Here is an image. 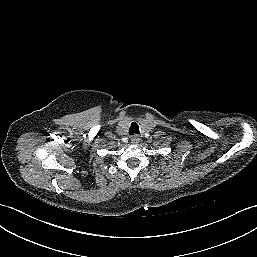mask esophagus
I'll return each mask as SVG.
<instances>
[{"label":"esophagus","mask_w":257,"mask_h":257,"mask_svg":"<svg viewBox=\"0 0 257 257\" xmlns=\"http://www.w3.org/2000/svg\"><path fill=\"white\" fill-rule=\"evenodd\" d=\"M140 142V137L138 135H133L131 137V143L137 145Z\"/></svg>","instance_id":"obj_1"}]
</instances>
